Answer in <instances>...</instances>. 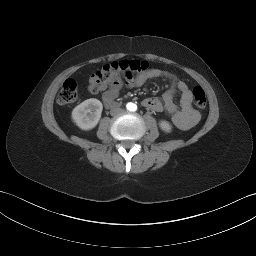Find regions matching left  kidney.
<instances>
[{
    "label": "left kidney",
    "mask_w": 256,
    "mask_h": 256,
    "mask_svg": "<svg viewBox=\"0 0 256 256\" xmlns=\"http://www.w3.org/2000/svg\"><path fill=\"white\" fill-rule=\"evenodd\" d=\"M159 127H160L164 132H167V133L171 132V130H172L171 124H170L168 121H166V120H161V121L159 122Z\"/></svg>",
    "instance_id": "obj_1"
}]
</instances>
